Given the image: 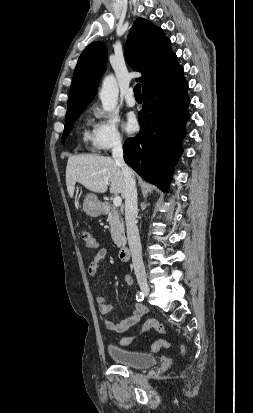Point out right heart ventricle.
I'll return each instance as SVG.
<instances>
[{"label": "right heart ventricle", "mask_w": 253, "mask_h": 413, "mask_svg": "<svg viewBox=\"0 0 253 413\" xmlns=\"http://www.w3.org/2000/svg\"><path fill=\"white\" fill-rule=\"evenodd\" d=\"M82 138H83L84 143H86V144L89 143L90 141L93 142L92 133L87 129H84L83 134H82Z\"/></svg>", "instance_id": "1"}]
</instances>
